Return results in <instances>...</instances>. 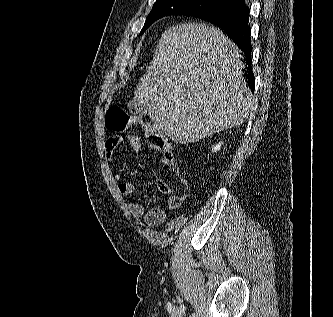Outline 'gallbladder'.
Here are the masks:
<instances>
[{
    "label": "gallbladder",
    "mask_w": 333,
    "mask_h": 317,
    "mask_svg": "<svg viewBox=\"0 0 333 317\" xmlns=\"http://www.w3.org/2000/svg\"><path fill=\"white\" fill-rule=\"evenodd\" d=\"M129 112L135 116H145L149 113L148 106L145 103L130 101L128 103Z\"/></svg>",
    "instance_id": "bac80fb5"
}]
</instances>
